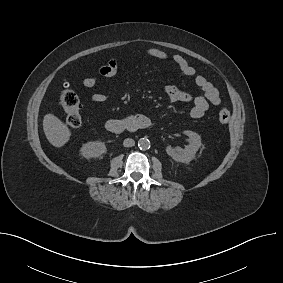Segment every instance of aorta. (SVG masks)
<instances>
[{
  "label": "aorta",
  "instance_id": "762f6f07",
  "mask_svg": "<svg viewBox=\"0 0 283 283\" xmlns=\"http://www.w3.org/2000/svg\"><path fill=\"white\" fill-rule=\"evenodd\" d=\"M138 147L140 149L146 150L150 148V140L147 137L140 138L138 140Z\"/></svg>",
  "mask_w": 283,
  "mask_h": 283
}]
</instances>
